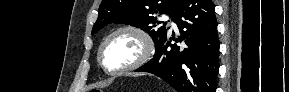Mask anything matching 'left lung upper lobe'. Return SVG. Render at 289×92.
<instances>
[{"instance_id":"left-lung-upper-lobe-1","label":"left lung upper lobe","mask_w":289,"mask_h":92,"mask_svg":"<svg viewBox=\"0 0 289 92\" xmlns=\"http://www.w3.org/2000/svg\"><path fill=\"white\" fill-rule=\"evenodd\" d=\"M180 0H102L92 35L109 23L128 24L141 28L152 37L156 50L167 36L165 24L154 14L172 16Z\"/></svg>"}]
</instances>
